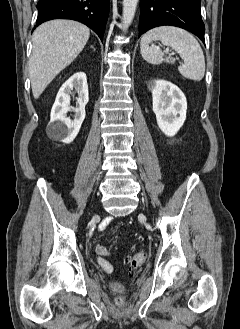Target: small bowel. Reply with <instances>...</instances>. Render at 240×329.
I'll list each match as a JSON object with an SVG mask.
<instances>
[{
    "label": "small bowel",
    "instance_id": "1",
    "mask_svg": "<svg viewBox=\"0 0 240 329\" xmlns=\"http://www.w3.org/2000/svg\"><path fill=\"white\" fill-rule=\"evenodd\" d=\"M96 251L98 253L97 263L106 273H112L113 266L112 264L104 257L110 253V251L103 246H97Z\"/></svg>",
    "mask_w": 240,
    "mask_h": 329
}]
</instances>
